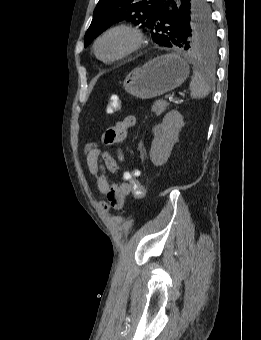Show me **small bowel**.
<instances>
[{"mask_svg":"<svg viewBox=\"0 0 261 340\" xmlns=\"http://www.w3.org/2000/svg\"><path fill=\"white\" fill-rule=\"evenodd\" d=\"M135 124L136 117L134 115H125L113 127L106 130L103 135V141L106 144L123 142L129 129ZM117 153L119 161L124 162L123 151L119 149ZM85 158L88 170L95 179L98 191L105 197V201L101 202L103 210L121 209L125 198L131 194V187L124 178L121 182H109L106 176L107 172L119 173L117 161L109 153L103 152L94 144L86 146Z\"/></svg>","mask_w":261,"mask_h":340,"instance_id":"obj_1","label":"small bowel"}]
</instances>
